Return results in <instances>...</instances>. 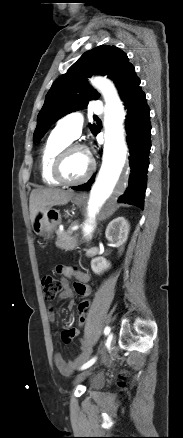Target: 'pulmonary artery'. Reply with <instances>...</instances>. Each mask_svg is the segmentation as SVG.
Listing matches in <instances>:
<instances>
[{
    "mask_svg": "<svg viewBox=\"0 0 183 438\" xmlns=\"http://www.w3.org/2000/svg\"><path fill=\"white\" fill-rule=\"evenodd\" d=\"M92 111L95 114H101L103 112V106L100 101H95L92 104ZM83 126V117L80 112L74 111L61 118L57 125L56 130L67 136L69 139L74 140L79 137Z\"/></svg>",
    "mask_w": 183,
    "mask_h": 438,
    "instance_id": "obj_1",
    "label": "pulmonary artery"
}]
</instances>
